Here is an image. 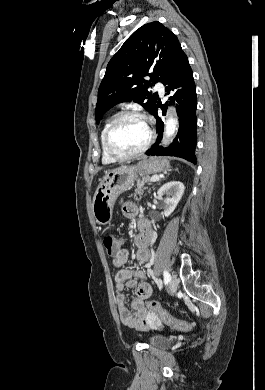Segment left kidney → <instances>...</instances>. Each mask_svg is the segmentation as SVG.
Instances as JSON below:
<instances>
[{"label":"left kidney","instance_id":"left-kidney-1","mask_svg":"<svg viewBox=\"0 0 265 390\" xmlns=\"http://www.w3.org/2000/svg\"><path fill=\"white\" fill-rule=\"evenodd\" d=\"M184 185L180 181H170L165 183L158 190V197H162L164 194L167 195V198L164 200V216L168 217L175 210L177 204L179 203L183 193H184Z\"/></svg>","mask_w":265,"mask_h":390}]
</instances>
